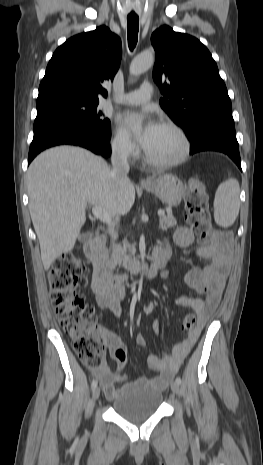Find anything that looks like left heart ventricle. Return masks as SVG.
Here are the masks:
<instances>
[{
	"instance_id": "1",
	"label": "left heart ventricle",
	"mask_w": 263,
	"mask_h": 465,
	"mask_svg": "<svg viewBox=\"0 0 263 465\" xmlns=\"http://www.w3.org/2000/svg\"><path fill=\"white\" fill-rule=\"evenodd\" d=\"M181 148L178 135L173 130L160 126L146 152L156 160L166 161L177 157Z\"/></svg>"
}]
</instances>
